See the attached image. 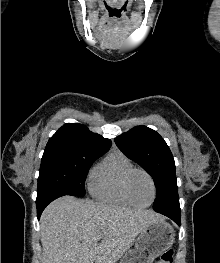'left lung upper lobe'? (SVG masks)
Masks as SVG:
<instances>
[{"instance_id": "5c2ea615", "label": "left lung upper lobe", "mask_w": 220, "mask_h": 263, "mask_svg": "<svg viewBox=\"0 0 220 263\" xmlns=\"http://www.w3.org/2000/svg\"><path fill=\"white\" fill-rule=\"evenodd\" d=\"M118 148L138 163L154 180L156 212L179 210V198L172 153L163 138L145 126H136L115 138Z\"/></svg>"}]
</instances>
